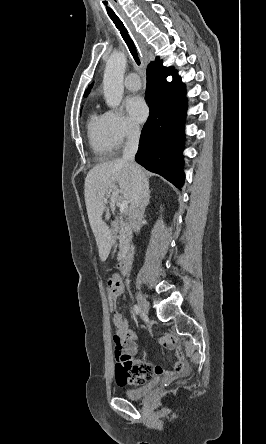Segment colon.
Here are the masks:
<instances>
[{
	"mask_svg": "<svg viewBox=\"0 0 266 444\" xmlns=\"http://www.w3.org/2000/svg\"><path fill=\"white\" fill-rule=\"evenodd\" d=\"M109 292H108V307L113 314L118 312L117 310V299L119 296L120 283L118 281H110L109 284Z\"/></svg>",
	"mask_w": 266,
	"mask_h": 444,
	"instance_id": "1",
	"label": "colon"
}]
</instances>
